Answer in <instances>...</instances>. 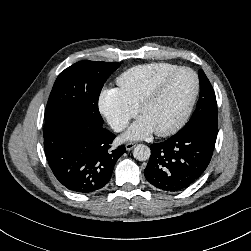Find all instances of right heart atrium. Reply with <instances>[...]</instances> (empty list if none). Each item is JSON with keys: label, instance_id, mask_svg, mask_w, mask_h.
<instances>
[{"label": "right heart atrium", "instance_id": "1", "mask_svg": "<svg viewBox=\"0 0 251 251\" xmlns=\"http://www.w3.org/2000/svg\"><path fill=\"white\" fill-rule=\"evenodd\" d=\"M98 108L116 132L124 130L130 119L136 114V109L127 102L120 90L116 88H104L101 91L98 98Z\"/></svg>", "mask_w": 251, "mask_h": 251}]
</instances>
